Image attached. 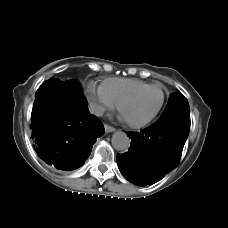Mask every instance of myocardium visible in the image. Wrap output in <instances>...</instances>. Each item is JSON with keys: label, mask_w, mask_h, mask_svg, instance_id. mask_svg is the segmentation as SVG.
<instances>
[{"label": "myocardium", "mask_w": 228, "mask_h": 228, "mask_svg": "<svg viewBox=\"0 0 228 228\" xmlns=\"http://www.w3.org/2000/svg\"><path fill=\"white\" fill-rule=\"evenodd\" d=\"M158 90L161 94V100L159 102V105L157 106L156 110L149 116L147 117L146 119L140 121V122H132V121H129L125 118V121L127 122V124L133 128H142L146 125H148L159 113V111L161 110L163 104H164V101H165V94L163 92V90L158 87V86H155V85H150L148 87H145L143 89H139L137 91H134L132 93H130L129 95L125 96L117 105L118 107V110L119 112L122 114V109H123V106L128 102L130 101L131 99H133L134 97L148 91V90Z\"/></svg>", "instance_id": "1"}]
</instances>
